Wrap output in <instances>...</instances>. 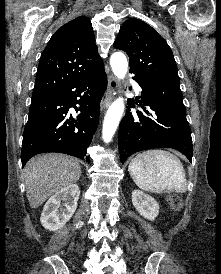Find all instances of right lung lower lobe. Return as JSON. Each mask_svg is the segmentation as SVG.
<instances>
[{"label":"right lung lower lobe","mask_w":221,"mask_h":274,"mask_svg":"<svg viewBox=\"0 0 221 274\" xmlns=\"http://www.w3.org/2000/svg\"><path fill=\"white\" fill-rule=\"evenodd\" d=\"M107 88L104 68L51 93L32 97L23 134L22 165L34 155L59 152L86 159L98 125L101 98ZM79 115L74 118L69 109Z\"/></svg>","instance_id":"right-lung-lower-lobe-1"}]
</instances>
